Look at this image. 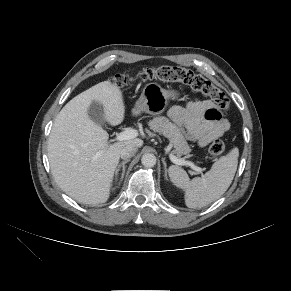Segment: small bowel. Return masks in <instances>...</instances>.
Wrapping results in <instances>:
<instances>
[{"instance_id": "1", "label": "small bowel", "mask_w": 291, "mask_h": 291, "mask_svg": "<svg viewBox=\"0 0 291 291\" xmlns=\"http://www.w3.org/2000/svg\"><path fill=\"white\" fill-rule=\"evenodd\" d=\"M169 114L200 146L207 145L229 129V122L209 100L195 99L186 108L174 106Z\"/></svg>"}]
</instances>
